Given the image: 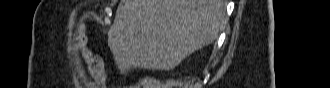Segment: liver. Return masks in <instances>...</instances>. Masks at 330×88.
Returning a JSON list of instances; mask_svg holds the SVG:
<instances>
[{
  "instance_id": "6515ba94",
  "label": "liver",
  "mask_w": 330,
  "mask_h": 88,
  "mask_svg": "<svg viewBox=\"0 0 330 88\" xmlns=\"http://www.w3.org/2000/svg\"><path fill=\"white\" fill-rule=\"evenodd\" d=\"M224 17L223 0H121L108 43L122 74L168 71L212 43Z\"/></svg>"
}]
</instances>
